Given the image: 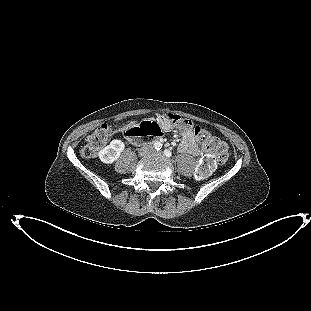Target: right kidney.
Returning a JSON list of instances; mask_svg holds the SVG:
<instances>
[{
	"instance_id": "right-kidney-1",
	"label": "right kidney",
	"mask_w": 311,
	"mask_h": 311,
	"mask_svg": "<svg viewBox=\"0 0 311 311\" xmlns=\"http://www.w3.org/2000/svg\"><path fill=\"white\" fill-rule=\"evenodd\" d=\"M124 148L125 144L123 141L119 139H114L110 142L108 146L99 151L98 156L103 163L112 164L119 158Z\"/></svg>"
}]
</instances>
